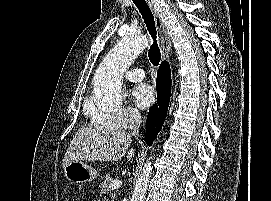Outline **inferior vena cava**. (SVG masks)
<instances>
[{"label":"inferior vena cava","mask_w":271,"mask_h":201,"mask_svg":"<svg viewBox=\"0 0 271 201\" xmlns=\"http://www.w3.org/2000/svg\"><path fill=\"white\" fill-rule=\"evenodd\" d=\"M131 119L133 123V131L131 135H137L139 131L140 124L142 122V118L139 112H132Z\"/></svg>","instance_id":"inferior-vena-cava-1"}]
</instances>
